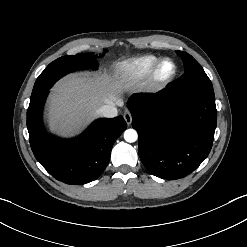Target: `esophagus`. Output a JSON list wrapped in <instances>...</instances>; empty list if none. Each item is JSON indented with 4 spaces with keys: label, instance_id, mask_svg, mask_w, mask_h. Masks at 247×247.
Listing matches in <instances>:
<instances>
[{
    "label": "esophagus",
    "instance_id": "obj_1",
    "mask_svg": "<svg viewBox=\"0 0 247 247\" xmlns=\"http://www.w3.org/2000/svg\"><path fill=\"white\" fill-rule=\"evenodd\" d=\"M123 117H124L127 125H130L131 122H132V114H131V112L128 111V110H126L125 113H124V115H123Z\"/></svg>",
    "mask_w": 247,
    "mask_h": 247
}]
</instances>
